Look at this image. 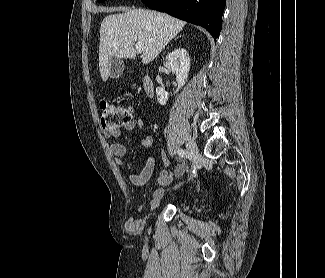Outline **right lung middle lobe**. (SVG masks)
I'll list each match as a JSON object with an SVG mask.
<instances>
[{"label":"right lung middle lobe","instance_id":"obj_1","mask_svg":"<svg viewBox=\"0 0 325 278\" xmlns=\"http://www.w3.org/2000/svg\"><path fill=\"white\" fill-rule=\"evenodd\" d=\"M98 2H103L104 0H97Z\"/></svg>","mask_w":325,"mask_h":278}]
</instances>
